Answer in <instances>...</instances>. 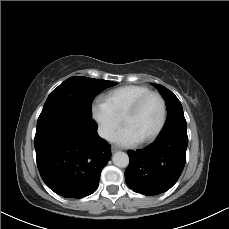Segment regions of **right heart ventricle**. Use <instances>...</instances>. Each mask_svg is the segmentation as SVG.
I'll list each match as a JSON object with an SVG mask.
<instances>
[{
    "mask_svg": "<svg viewBox=\"0 0 229 229\" xmlns=\"http://www.w3.org/2000/svg\"><path fill=\"white\" fill-rule=\"evenodd\" d=\"M149 91L150 89L143 85H126L107 92L104 95V100L113 113L122 119L128 107Z\"/></svg>",
    "mask_w": 229,
    "mask_h": 229,
    "instance_id": "right-heart-ventricle-1",
    "label": "right heart ventricle"
}]
</instances>
